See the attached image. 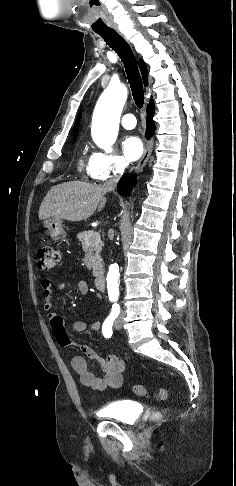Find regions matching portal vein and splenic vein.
<instances>
[{"mask_svg": "<svg viewBox=\"0 0 236 486\" xmlns=\"http://www.w3.org/2000/svg\"><path fill=\"white\" fill-rule=\"evenodd\" d=\"M94 235L96 237V240L100 241V234L98 232H95Z\"/></svg>", "mask_w": 236, "mask_h": 486, "instance_id": "18ae733b", "label": "portal vein and splenic vein"}]
</instances>
